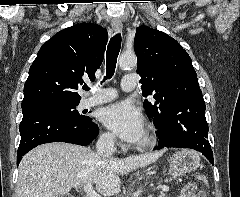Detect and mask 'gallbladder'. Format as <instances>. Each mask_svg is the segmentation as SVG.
<instances>
[{"mask_svg": "<svg viewBox=\"0 0 240 197\" xmlns=\"http://www.w3.org/2000/svg\"><path fill=\"white\" fill-rule=\"evenodd\" d=\"M59 197H73V196L70 195V194H62V195H60Z\"/></svg>", "mask_w": 240, "mask_h": 197, "instance_id": "gallbladder-1", "label": "gallbladder"}]
</instances>
